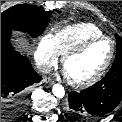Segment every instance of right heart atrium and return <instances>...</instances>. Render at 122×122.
Masks as SVG:
<instances>
[{
    "label": "right heart atrium",
    "instance_id": "obj_1",
    "mask_svg": "<svg viewBox=\"0 0 122 122\" xmlns=\"http://www.w3.org/2000/svg\"><path fill=\"white\" fill-rule=\"evenodd\" d=\"M59 52L57 51L53 42L52 35H43L36 46L34 57L38 68L46 72L53 65L56 64L59 58Z\"/></svg>",
    "mask_w": 122,
    "mask_h": 122
}]
</instances>
